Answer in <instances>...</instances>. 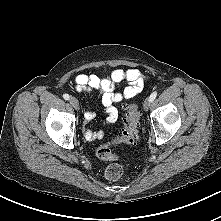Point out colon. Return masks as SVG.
<instances>
[{
  "label": "colon",
  "instance_id": "obj_1",
  "mask_svg": "<svg viewBox=\"0 0 221 221\" xmlns=\"http://www.w3.org/2000/svg\"><path fill=\"white\" fill-rule=\"evenodd\" d=\"M126 112L123 119V128L119 135L109 139L96 149V156L105 161H115L118 156L112 151V146L118 144H133L139 137L140 116L135 104L126 106ZM124 172V167L118 163H112L105 169V177L108 180H118Z\"/></svg>",
  "mask_w": 221,
  "mask_h": 221
}]
</instances>
